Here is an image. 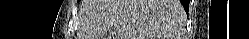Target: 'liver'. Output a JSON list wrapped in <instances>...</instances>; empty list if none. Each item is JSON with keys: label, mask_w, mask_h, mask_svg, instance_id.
I'll return each instance as SVG.
<instances>
[{"label": "liver", "mask_w": 249, "mask_h": 39, "mask_svg": "<svg viewBox=\"0 0 249 39\" xmlns=\"http://www.w3.org/2000/svg\"><path fill=\"white\" fill-rule=\"evenodd\" d=\"M183 15L179 0H84L80 39H175Z\"/></svg>", "instance_id": "1"}]
</instances>
